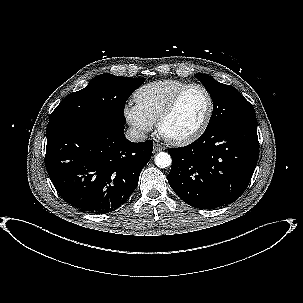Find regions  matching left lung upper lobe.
I'll return each mask as SVG.
<instances>
[{
	"label": "left lung upper lobe",
	"mask_w": 303,
	"mask_h": 303,
	"mask_svg": "<svg viewBox=\"0 0 303 303\" xmlns=\"http://www.w3.org/2000/svg\"><path fill=\"white\" fill-rule=\"evenodd\" d=\"M194 76L210 92L213 101V113L206 129L256 116L253 106L234 87L222 84L205 74H195Z\"/></svg>",
	"instance_id": "obj_1"
}]
</instances>
